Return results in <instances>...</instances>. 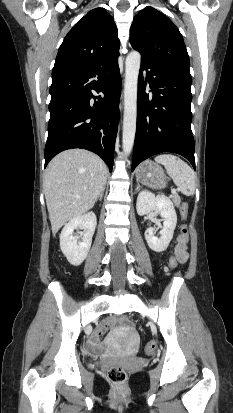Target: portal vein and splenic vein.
Listing matches in <instances>:
<instances>
[{"label":"portal vein and splenic vein","mask_w":233,"mask_h":413,"mask_svg":"<svg viewBox=\"0 0 233 413\" xmlns=\"http://www.w3.org/2000/svg\"><path fill=\"white\" fill-rule=\"evenodd\" d=\"M177 190H178V189H177ZM171 192H172V194H175V193H176V189H172Z\"/></svg>","instance_id":"1"}]
</instances>
